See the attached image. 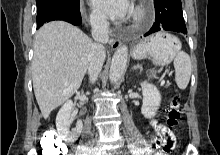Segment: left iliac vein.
<instances>
[{
  "mask_svg": "<svg viewBox=\"0 0 220 155\" xmlns=\"http://www.w3.org/2000/svg\"><path fill=\"white\" fill-rule=\"evenodd\" d=\"M103 155H112V154H107V153H104Z\"/></svg>",
  "mask_w": 220,
  "mask_h": 155,
  "instance_id": "left-iliac-vein-1",
  "label": "left iliac vein"
}]
</instances>
